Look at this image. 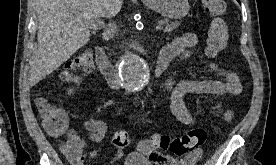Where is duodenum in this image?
<instances>
[{"mask_svg": "<svg viewBox=\"0 0 276 165\" xmlns=\"http://www.w3.org/2000/svg\"><path fill=\"white\" fill-rule=\"evenodd\" d=\"M95 56L97 66L102 73V75L107 80L108 84L114 89L121 88V80L117 73V70L114 64L111 62L109 57L107 56L104 48L102 46H97L95 48ZM169 64V60L163 56H159L155 66H154V74L156 76L161 75L167 68Z\"/></svg>", "mask_w": 276, "mask_h": 165, "instance_id": "1", "label": "duodenum"}]
</instances>
